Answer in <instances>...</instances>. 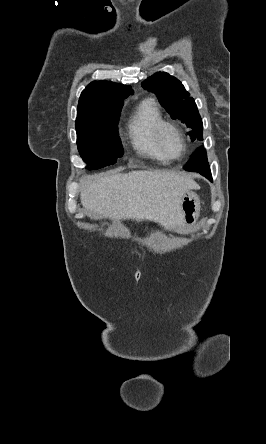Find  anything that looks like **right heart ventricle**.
I'll use <instances>...</instances> for the list:
<instances>
[{"mask_svg":"<svg viewBox=\"0 0 266 444\" xmlns=\"http://www.w3.org/2000/svg\"><path fill=\"white\" fill-rule=\"evenodd\" d=\"M163 120L154 99L147 98L138 104L127 124L131 144L138 153L157 160L167 159L156 142V129Z\"/></svg>","mask_w":266,"mask_h":444,"instance_id":"right-heart-ventricle-1","label":"right heart ventricle"}]
</instances>
